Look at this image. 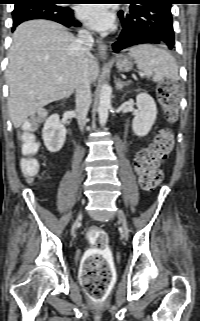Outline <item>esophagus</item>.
<instances>
[{
  "label": "esophagus",
  "mask_w": 200,
  "mask_h": 321,
  "mask_svg": "<svg viewBox=\"0 0 200 321\" xmlns=\"http://www.w3.org/2000/svg\"><path fill=\"white\" fill-rule=\"evenodd\" d=\"M97 46H98V53L102 59H105L107 56V45L102 41L98 40L97 41Z\"/></svg>",
  "instance_id": "obj_1"
}]
</instances>
